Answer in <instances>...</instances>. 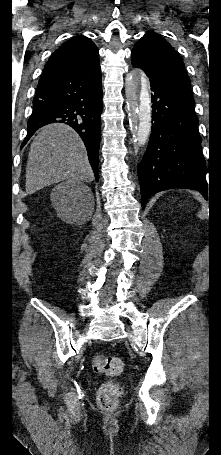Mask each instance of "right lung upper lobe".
<instances>
[{
	"label": "right lung upper lobe",
	"instance_id": "1",
	"mask_svg": "<svg viewBox=\"0 0 221 455\" xmlns=\"http://www.w3.org/2000/svg\"><path fill=\"white\" fill-rule=\"evenodd\" d=\"M98 54L96 45L85 36H76L65 42L49 58L42 77L88 55Z\"/></svg>",
	"mask_w": 221,
	"mask_h": 455
}]
</instances>
